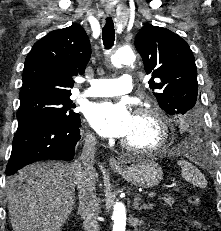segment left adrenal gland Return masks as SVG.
<instances>
[{
    "mask_svg": "<svg viewBox=\"0 0 221 231\" xmlns=\"http://www.w3.org/2000/svg\"><path fill=\"white\" fill-rule=\"evenodd\" d=\"M139 201H140V197L139 195H136L133 202V207L136 210H142V209L147 210V209H151L153 206L151 203L140 204Z\"/></svg>",
    "mask_w": 221,
    "mask_h": 231,
    "instance_id": "1",
    "label": "left adrenal gland"
}]
</instances>
